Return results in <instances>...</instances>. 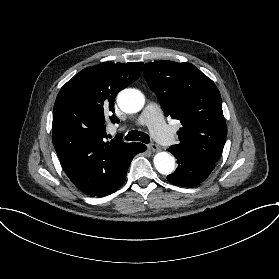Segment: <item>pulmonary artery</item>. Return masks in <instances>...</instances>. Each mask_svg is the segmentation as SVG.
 <instances>
[{
  "label": "pulmonary artery",
  "mask_w": 279,
  "mask_h": 279,
  "mask_svg": "<svg viewBox=\"0 0 279 279\" xmlns=\"http://www.w3.org/2000/svg\"><path fill=\"white\" fill-rule=\"evenodd\" d=\"M167 114L164 110L159 109L155 102L147 105L142 115L140 116L139 124H148L153 128L152 137L161 146H166L172 141V133L176 128L166 125Z\"/></svg>",
  "instance_id": "1"
}]
</instances>
